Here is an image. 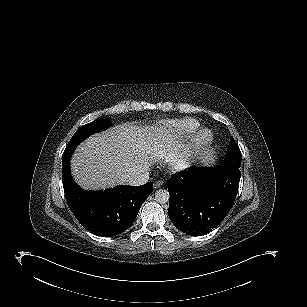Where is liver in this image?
Returning <instances> with one entry per match:
<instances>
[{"instance_id":"1","label":"liver","mask_w":307,"mask_h":307,"mask_svg":"<svg viewBox=\"0 0 307 307\" xmlns=\"http://www.w3.org/2000/svg\"><path fill=\"white\" fill-rule=\"evenodd\" d=\"M164 149L146 131L132 125L116 126L81 143L71 159L75 181L85 189L128 184L129 178L149 168Z\"/></svg>"}]
</instances>
